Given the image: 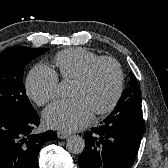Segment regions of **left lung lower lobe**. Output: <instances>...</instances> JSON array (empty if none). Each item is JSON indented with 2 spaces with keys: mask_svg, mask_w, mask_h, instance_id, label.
<instances>
[{
  "mask_svg": "<svg viewBox=\"0 0 168 168\" xmlns=\"http://www.w3.org/2000/svg\"><path fill=\"white\" fill-rule=\"evenodd\" d=\"M145 123L141 108L113 111L100 126L85 133V149L78 159L80 168H131Z\"/></svg>",
  "mask_w": 168,
  "mask_h": 168,
  "instance_id": "obj_1",
  "label": "left lung lower lobe"
}]
</instances>
